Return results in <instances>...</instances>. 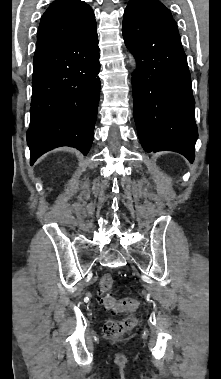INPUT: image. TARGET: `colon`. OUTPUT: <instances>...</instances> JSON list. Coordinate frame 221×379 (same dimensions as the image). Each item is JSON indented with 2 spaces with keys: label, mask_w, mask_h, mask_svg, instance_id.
I'll use <instances>...</instances> for the list:
<instances>
[{
  "label": "colon",
  "mask_w": 221,
  "mask_h": 379,
  "mask_svg": "<svg viewBox=\"0 0 221 379\" xmlns=\"http://www.w3.org/2000/svg\"><path fill=\"white\" fill-rule=\"evenodd\" d=\"M113 286V277L105 274L100 280V301L105 309L117 314L121 312L129 313L126 317L119 320H109L103 326V333L108 338H118L130 331L136 324V317L131 313L138 305L135 298H124L117 300L109 294Z\"/></svg>",
  "instance_id": "5ec220e1"
}]
</instances>
